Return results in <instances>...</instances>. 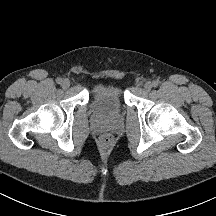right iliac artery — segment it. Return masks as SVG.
<instances>
[{"label":"right iliac artery","mask_w":216,"mask_h":216,"mask_svg":"<svg viewBox=\"0 0 216 216\" xmlns=\"http://www.w3.org/2000/svg\"><path fill=\"white\" fill-rule=\"evenodd\" d=\"M62 81H63V80H62L61 78H57V79H56V82H57L58 84H61Z\"/></svg>","instance_id":"obj_1"}]
</instances>
